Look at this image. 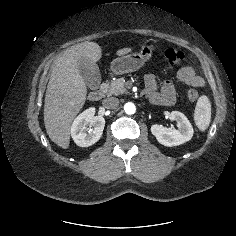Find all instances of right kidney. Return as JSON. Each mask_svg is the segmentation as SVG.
Returning a JSON list of instances; mask_svg holds the SVG:
<instances>
[{
    "instance_id": "right-kidney-1",
    "label": "right kidney",
    "mask_w": 236,
    "mask_h": 236,
    "mask_svg": "<svg viewBox=\"0 0 236 236\" xmlns=\"http://www.w3.org/2000/svg\"><path fill=\"white\" fill-rule=\"evenodd\" d=\"M94 114V107L86 109L75 118L71 126V136L80 147L91 146L102 136L105 119L102 116H94Z\"/></svg>"
}]
</instances>
